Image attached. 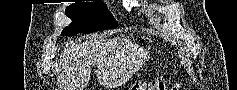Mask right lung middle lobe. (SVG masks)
<instances>
[{
  "instance_id": "1",
  "label": "right lung middle lobe",
  "mask_w": 237,
  "mask_h": 90,
  "mask_svg": "<svg viewBox=\"0 0 237 90\" xmlns=\"http://www.w3.org/2000/svg\"><path fill=\"white\" fill-rule=\"evenodd\" d=\"M65 14L72 23L63 29L61 35H75L76 33H90L99 30L114 29L117 21L101 1L78 2L71 4L65 10Z\"/></svg>"
}]
</instances>
